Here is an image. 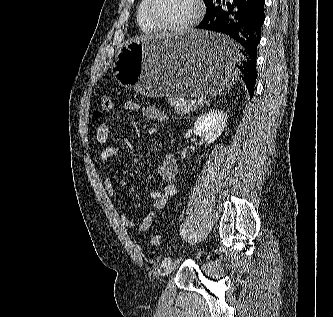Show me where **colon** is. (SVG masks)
Masks as SVG:
<instances>
[{
	"instance_id": "5ec220e1",
	"label": "colon",
	"mask_w": 333,
	"mask_h": 317,
	"mask_svg": "<svg viewBox=\"0 0 333 317\" xmlns=\"http://www.w3.org/2000/svg\"><path fill=\"white\" fill-rule=\"evenodd\" d=\"M111 98L108 95H102L99 97L97 101L96 108L94 110V118L95 119H101L105 115L108 114V112L111 110ZM160 236L158 234H153L151 237V243L153 245H159L160 244Z\"/></svg>"
}]
</instances>
